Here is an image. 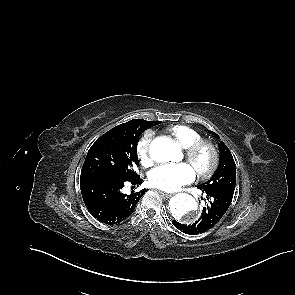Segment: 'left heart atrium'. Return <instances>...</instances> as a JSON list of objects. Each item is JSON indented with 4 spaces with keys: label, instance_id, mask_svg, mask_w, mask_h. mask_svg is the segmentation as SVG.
Wrapping results in <instances>:
<instances>
[{
    "label": "left heart atrium",
    "instance_id": "39dd6f15",
    "mask_svg": "<svg viewBox=\"0 0 295 295\" xmlns=\"http://www.w3.org/2000/svg\"><path fill=\"white\" fill-rule=\"evenodd\" d=\"M195 177L196 172L189 163L164 164L150 171L149 182L158 189L173 192L191 183Z\"/></svg>",
    "mask_w": 295,
    "mask_h": 295
}]
</instances>
